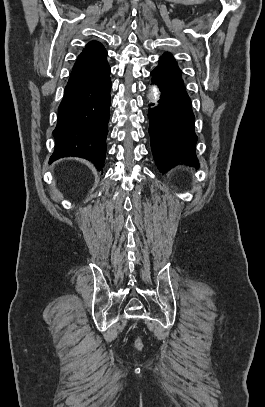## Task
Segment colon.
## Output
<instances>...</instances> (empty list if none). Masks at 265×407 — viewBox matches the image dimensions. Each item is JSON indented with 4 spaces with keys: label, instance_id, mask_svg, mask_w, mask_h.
Masks as SVG:
<instances>
[{
    "label": "colon",
    "instance_id": "1",
    "mask_svg": "<svg viewBox=\"0 0 265 407\" xmlns=\"http://www.w3.org/2000/svg\"><path fill=\"white\" fill-rule=\"evenodd\" d=\"M135 345H136V347H137L138 349H141V347H142L141 340H140V339H137L136 342H135Z\"/></svg>",
    "mask_w": 265,
    "mask_h": 407
}]
</instances>
